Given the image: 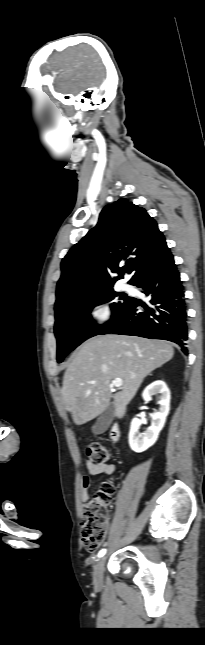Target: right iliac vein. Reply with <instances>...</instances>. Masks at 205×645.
Wrapping results in <instances>:
<instances>
[{
    "instance_id": "obj_1",
    "label": "right iliac vein",
    "mask_w": 205,
    "mask_h": 645,
    "mask_svg": "<svg viewBox=\"0 0 205 645\" xmlns=\"http://www.w3.org/2000/svg\"><path fill=\"white\" fill-rule=\"evenodd\" d=\"M106 563V556L101 557L94 568V583L96 586H101L103 583V572Z\"/></svg>"
}]
</instances>
